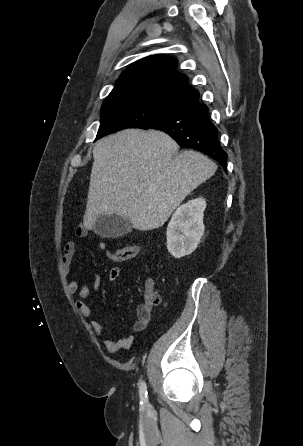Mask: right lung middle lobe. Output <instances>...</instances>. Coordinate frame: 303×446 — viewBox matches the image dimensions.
Wrapping results in <instances>:
<instances>
[{
  "instance_id": "right-lung-middle-lobe-1",
  "label": "right lung middle lobe",
  "mask_w": 303,
  "mask_h": 446,
  "mask_svg": "<svg viewBox=\"0 0 303 446\" xmlns=\"http://www.w3.org/2000/svg\"><path fill=\"white\" fill-rule=\"evenodd\" d=\"M184 105V100H174L166 111L153 110L139 105H109L101 108V124L97 139L126 128H140L145 123L175 111Z\"/></svg>"
}]
</instances>
